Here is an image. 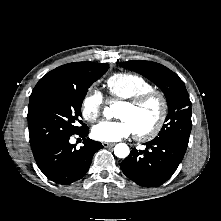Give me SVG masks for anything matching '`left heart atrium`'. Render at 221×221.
I'll use <instances>...</instances> for the list:
<instances>
[{"label": "left heart atrium", "mask_w": 221, "mask_h": 221, "mask_svg": "<svg viewBox=\"0 0 221 221\" xmlns=\"http://www.w3.org/2000/svg\"><path fill=\"white\" fill-rule=\"evenodd\" d=\"M133 133L132 125L121 118L117 121L100 122L91 130L92 137L101 142H117Z\"/></svg>", "instance_id": "1"}]
</instances>
